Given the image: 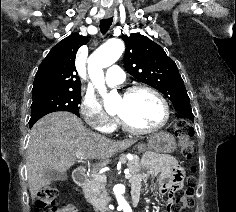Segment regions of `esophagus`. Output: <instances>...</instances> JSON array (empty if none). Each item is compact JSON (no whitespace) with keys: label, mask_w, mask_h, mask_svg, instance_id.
<instances>
[{"label":"esophagus","mask_w":236,"mask_h":212,"mask_svg":"<svg viewBox=\"0 0 236 212\" xmlns=\"http://www.w3.org/2000/svg\"><path fill=\"white\" fill-rule=\"evenodd\" d=\"M105 18H110L111 16H112V13L111 12H107V13H105Z\"/></svg>","instance_id":"34e87169"}]
</instances>
